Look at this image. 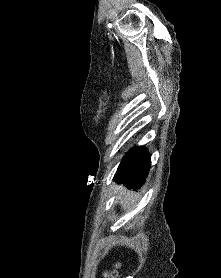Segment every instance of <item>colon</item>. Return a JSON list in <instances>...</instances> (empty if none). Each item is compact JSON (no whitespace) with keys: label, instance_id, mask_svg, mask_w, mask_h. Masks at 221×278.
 <instances>
[{"label":"colon","instance_id":"colon-1","mask_svg":"<svg viewBox=\"0 0 221 278\" xmlns=\"http://www.w3.org/2000/svg\"><path fill=\"white\" fill-rule=\"evenodd\" d=\"M106 278H118V271L114 270V271H109L105 274Z\"/></svg>","mask_w":221,"mask_h":278}]
</instances>
